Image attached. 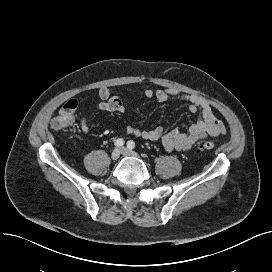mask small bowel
Segmentation results:
<instances>
[{
  "mask_svg": "<svg viewBox=\"0 0 272 272\" xmlns=\"http://www.w3.org/2000/svg\"><path fill=\"white\" fill-rule=\"evenodd\" d=\"M100 102L95 106L97 110L124 113L126 105L122 98L113 96L108 87H101L97 91ZM144 96L148 99L155 98L159 102H165L169 98H176L188 105L191 112L199 115L197 121L189 126L186 131L179 129L165 130L158 126L151 130H142L134 126H127L126 134L141 137L150 141L160 140L167 151H189L193 145L208 136L217 137L225 134L224 124L215 116L210 101L196 95H186L174 88L146 89ZM78 107L76 100H70L63 108H71L72 124L75 123V112ZM79 126L84 134L90 133L87 115L81 117Z\"/></svg>",
  "mask_w": 272,
  "mask_h": 272,
  "instance_id": "obj_1",
  "label": "small bowel"
}]
</instances>
